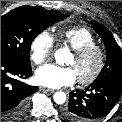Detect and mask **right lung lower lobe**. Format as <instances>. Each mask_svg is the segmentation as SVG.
Listing matches in <instances>:
<instances>
[{"mask_svg": "<svg viewBox=\"0 0 122 122\" xmlns=\"http://www.w3.org/2000/svg\"><path fill=\"white\" fill-rule=\"evenodd\" d=\"M31 75V66L1 56V122H19L24 117L29 96L38 87L29 86L20 79Z\"/></svg>", "mask_w": 122, "mask_h": 122, "instance_id": "right-lung-lower-lobe-1", "label": "right lung lower lobe"}]
</instances>
